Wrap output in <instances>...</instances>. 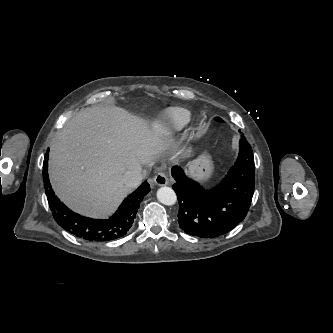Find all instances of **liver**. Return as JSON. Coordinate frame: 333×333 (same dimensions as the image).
<instances>
[{
	"label": "liver",
	"instance_id": "1",
	"mask_svg": "<svg viewBox=\"0 0 333 333\" xmlns=\"http://www.w3.org/2000/svg\"><path fill=\"white\" fill-rule=\"evenodd\" d=\"M164 144L162 129H150L123 108H85L50 146L52 187L71 210L104 218L130 191L124 173L137 164L151 165Z\"/></svg>",
	"mask_w": 333,
	"mask_h": 333
}]
</instances>
